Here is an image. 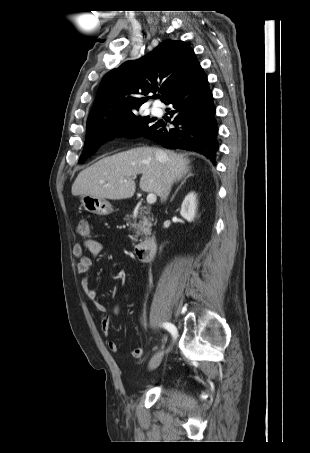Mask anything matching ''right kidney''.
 Here are the masks:
<instances>
[{"label":"right kidney","mask_w":310,"mask_h":453,"mask_svg":"<svg viewBox=\"0 0 310 453\" xmlns=\"http://www.w3.org/2000/svg\"><path fill=\"white\" fill-rule=\"evenodd\" d=\"M197 200L194 192L189 193L182 202L180 214L189 222L196 216Z\"/></svg>","instance_id":"ca27d5eb"}]
</instances>
